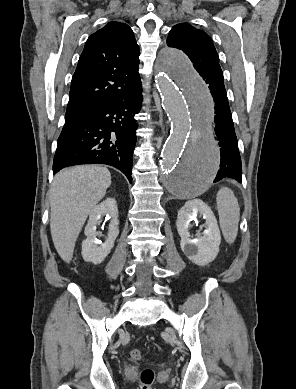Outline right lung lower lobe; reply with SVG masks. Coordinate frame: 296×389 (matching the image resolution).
<instances>
[{
    "label": "right lung lower lobe",
    "mask_w": 296,
    "mask_h": 389,
    "mask_svg": "<svg viewBox=\"0 0 296 389\" xmlns=\"http://www.w3.org/2000/svg\"><path fill=\"white\" fill-rule=\"evenodd\" d=\"M139 75L117 101L65 121L57 141L53 173L79 164H107L132 182V155L136 143L134 118L142 102Z\"/></svg>",
    "instance_id": "1"
}]
</instances>
